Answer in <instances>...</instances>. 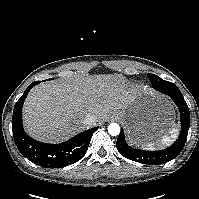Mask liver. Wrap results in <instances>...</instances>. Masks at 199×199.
<instances>
[{"mask_svg": "<svg viewBox=\"0 0 199 199\" xmlns=\"http://www.w3.org/2000/svg\"><path fill=\"white\" fill-rule=\"evenodd\" d=\"M134 97L114 75L42 83L25 101L24 127L40 141L61 142L86 128L83 120L88 114L101 122L110 113L126 109Z\"/></svg>", "mask_w": 199, "mask_h": 199, "instance_id": "1", "label": "liver"}]
</instances>
